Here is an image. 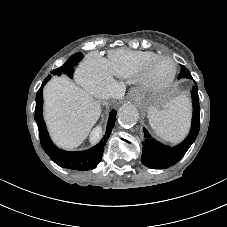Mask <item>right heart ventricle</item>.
<instances>
[{"instance_id":"obj_1","label":"right heart ventricle","mask_w":227,"mask_h":227,"mask_svg":"<svg viewBox=\"0 0 227 227\" xmlns=\"http://www.w3.org/2000/svg\"><path fill=\"white\" fill-rule=\"evenodd\" d=\"M156 56V53L150 51L119 49L111 54L107 63L113 75L135 78Z\"/></svg>"}]
</instances>
